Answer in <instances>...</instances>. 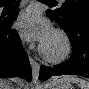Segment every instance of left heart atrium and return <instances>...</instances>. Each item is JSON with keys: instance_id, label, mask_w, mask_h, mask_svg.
<instances>
[{"instance_id": "1", "label": "left heart atrium", "mask_w": 89, "mask_h": 89, "mask_svg": "<svg viewBox=\"0 0 89 89\" xmlns=\"http://www.w3.org/2000/svg\"><path fill=\"white\" fill-rule=\"evenodd\" d=\"M16 28L24 38L36 39L42 43H45L52 34L51 26L43 19L39 9L34 6L20 13Z\"/></svg>"}]
</instances>
